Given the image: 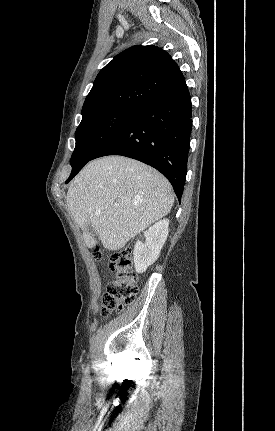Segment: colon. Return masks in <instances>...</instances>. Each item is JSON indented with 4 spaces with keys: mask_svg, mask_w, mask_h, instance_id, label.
<instances>
[{
    "mask_svg": "<svg viewBox=\"0 0 275 431\" xmlns=\"http://www.w3.org/2000/svg\"><path fill=\"white\" fill-rule=\"evenodd\" d=\"M94 255L100 256L98 249L94 250ZM109 265L114 279L108 284L102 296L100 310L102 317H107L112 311H122L138 294L137 276L132 270L131 250L126 248L113 253Z\"/></svg>",
    "mask_w": 275,
    "mask_h": 431,
    "instance_id": "5ec220e1",
    "label": "colon"
}]
</instances>
